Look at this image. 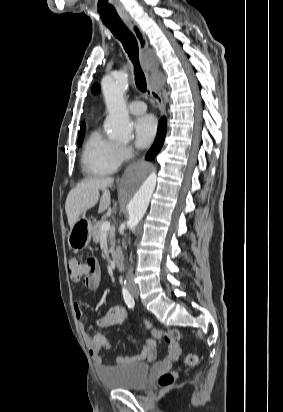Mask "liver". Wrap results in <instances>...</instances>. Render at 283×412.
I'll return each mask as SVG.
<instances>
[{
	"label": "liver",
	"instance_id": "1",
	"mask_svg": "<svg viewBox=\"0 0 283 412\" xmlns=\"http://www.w3.org/2000/svg\"><path fill=\"white\" fill-rule=\"evenodd\" d=\"M113 183L109 177L88 178L72 189L65 202V210L70 229L79 220L82 213L94 207L100 198L99 191H103L100 200L99 212H104L110 206V192L107 187Z\"/></svg>",
	"mask_w": 283,
	"mask_h": 412
}]
</instances>
